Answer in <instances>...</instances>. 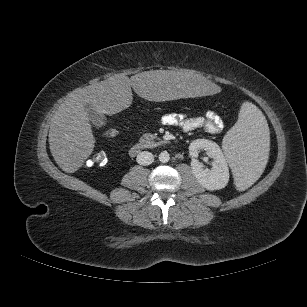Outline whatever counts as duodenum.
Returning a JSON list of instances; mask_svg holds the SVG:
<instances>
[{
  "label": "duodenum",
  "mask_w": 307,
  "mask_h": 307,
  "mask_svg": "<svg viewBox=\"0 0 307 307\" xmlns=\"http://www.w3.org/2000/svg\"><path fill=\"white\" fill-rule=\"evenodd\" d=\"M168 141L165 139H154V140H144L138 143L133 144L130 147L129 153L131 156H136L140 152L146 149L156 148L162 145L167 144Z\"/></svg>",
  "instance_id": "obj_1"
}]
</instances>
